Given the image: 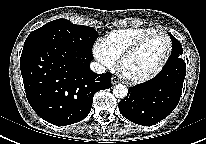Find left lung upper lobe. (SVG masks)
<instances>
[{"mask_svg":"<svg viewBox=\"0 0 206 144\" xmlns=\"http://www.w3.org/2000/svg\"><path fill=\"white\" fill-rule=\"evenodd\" d=\"M169 36L173 44V49L170 56H177L181 58V55L183 54L181 43L172 34L169 33Z\"/></svg>","mask_w":206,"mask_h":144,"instance_id":"1","label":"left lung upper lobe"}]
</instances>
